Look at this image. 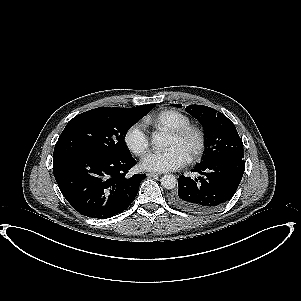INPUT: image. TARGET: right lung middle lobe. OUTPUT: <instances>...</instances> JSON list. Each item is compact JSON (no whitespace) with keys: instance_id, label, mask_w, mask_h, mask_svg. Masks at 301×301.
Wrapping results in <instances>:
<instances>
[{"instance_id":"dd1d6c3e","label":"right lung middle lobe","mask_w":301,"mask_h":301,"mask_svg":"<svg viewBox=\"0 0 301 301\" xmlns=\"http://www.w3.org/2000/svg\"><path fill=\"white\" fill-rule=\"evenodd\" d=\"M152 108H96L75 116L66 125L54 149L57 158L74 152L130 155L125 145L128 129Z\"/></svg>"}]
</instances>
